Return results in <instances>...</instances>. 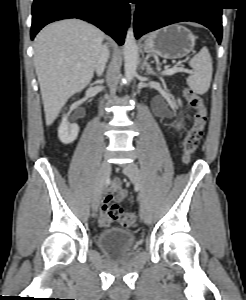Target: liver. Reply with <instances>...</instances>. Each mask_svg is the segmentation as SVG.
I'll list each match as a JSON object with an SVG mask.
<instances>
[{
  "mask_svg": "<svg viewBox=\"0 0 246 300\" xmlns=\"http://www.w3.org/2000/svg\"><path fill=\"white\" fill-rule=\"evenodd\" d=\"M103 38L100 29L78 19L52 23L36 36L34 66L48 126L92 80Z\"/></svg>",
  "mask_w": 246,
  "mask_h": 300,
  "instance_id": "6515ba94",
  "label": "liver"
}]
</instances>
